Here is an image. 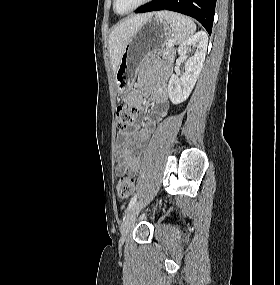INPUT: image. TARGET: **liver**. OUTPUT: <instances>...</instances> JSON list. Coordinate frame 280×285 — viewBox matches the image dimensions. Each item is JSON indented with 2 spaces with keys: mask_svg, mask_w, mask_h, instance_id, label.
I'll list each match as a JSON object with an SVG mask.
<instances>
[{
  "mask_svg": "<svg viewBox=\"0 0 280 285\" xmlns=\"http://www.w3.org/2000/svg\"><path fill=\"white\" fill-rule=\"evenodd\" d=\"M157 15V13H156ZM153 13L134 15L119 23L109 35V53L113 65L114 74L117 71L119 62L127 43L137 32L138 28L152 18Z\"/></svg>",
  "mask_w": 280,
  "mask_h": 285,
  "instance_id": "1",
  "label": "liver"
}]
</instances>
